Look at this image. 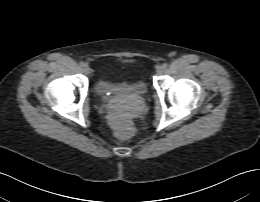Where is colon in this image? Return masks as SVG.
<instances>
[{"label": "colon", "mask_w": 260, "mask_h": 202, "mask_svg": "<svg viewBox=\"0 0 260 202\" xmlns=\"http://www.w3.org/2000/svg\"><path fill=\"white\" fill-rule=\"evenodd\" d=\"M110 123L115 129V134L117 137L126 139L130 136L127 120L122 114L120 113L111 114Z\"/></svg>", "instance_id": "5ec220e1"}]
</instances>
